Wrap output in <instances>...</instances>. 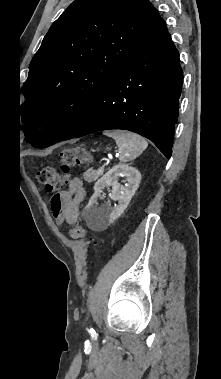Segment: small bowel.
Here are the masks:
<instances>
[{
	"label": "small bowel",
	"instance_id": "1",
	"mask_svg": "<svg viewBox=\"0 0 221 379\" xmlns=\"http://www.w3.org/2000/svg\"><path fill=\"white\" fill-rule=\"evenodd\" d=\"M85 190L80 178H72L66 190H49L51 211L58 223L74 224L79 217V205L83 200Z\"/></svg>",
	"mask_w": 221,
	"mask_h": 379
}]
</instances>
